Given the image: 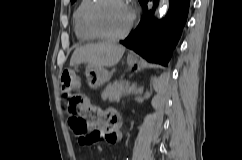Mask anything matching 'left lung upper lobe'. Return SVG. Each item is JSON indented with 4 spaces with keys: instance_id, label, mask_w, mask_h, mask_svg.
<instances>
[{
    "instance_id": "obj_1",
    "label": "left lung upper lobe",
    "mask_w": 242,
    "mask_h": 160,
    "mask_svg": "<svg viewBox=\"0 0 242 160\" xmlns=\"http://www.w3.org/2000/svg\"><path fill=\"white\" fill-rule=\"evenodd\" d=\"M76 0H71V3H74ZM143 0H139V2L141 3Z\"/></svg>"
}]
</instances>
